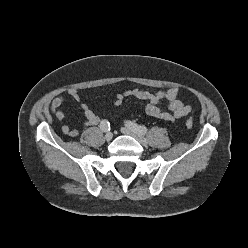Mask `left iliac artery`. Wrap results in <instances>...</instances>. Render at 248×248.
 <instances>
[{"label":"left iliac artery","instance_id":"obj_1","mask_svg":"<svg viewBox=\"0 0 248 248\" xmlns=\"http://www.w3.org/2000/svg\"><path fill=\"white\" fill-rule=\"evenodd\" d=\"M126 126L131 128L133 131L139 133V134H146L148 129L145 126L138 125L134 122L127 121Z\"/></svg>","mask_w":248,"mask_h":248}]
</instances>
